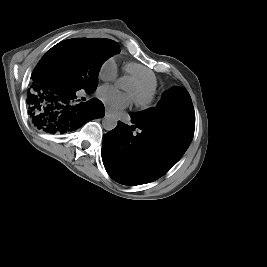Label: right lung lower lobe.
Segmentation results:
<instances>
[{
	"label": "right lung lower lobe",
	"mask_w": 267,
	"mask_h": 267,
	"mask_svg": "<svg viewBox=\"0 0 267 267\" xmlns=\"http://www.w3.org/2000/svg\"><path fill=\"white\" fill-rule=\"evenodd\" d=\"M28 103L32 123L48 133L74 131L92 119L104 116V106L98 99L75 103L74 89L64 78L44 67L32 75ZM88 94L92 91H86Z\"/></svg>",
	"instance_id": "obj_1"
}]
</instances>
